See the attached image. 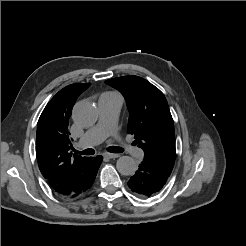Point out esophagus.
I'll return each instance as SVG.
<instances>
[{
  "instance_id": "34e87169",
  "label": "esophagus",
  "mask_w": 246,
  "mask_h": 246,
  "mask_svg": "<svg viewBox=\"0 0 246 246\" xmlns=\"http://www.w3.org/2000/svg\"><path fill=\"white\" fill-rule=\"evenodd\" d=\"M104 157L109 158V159H115L119 157V154H113V153H104Z\"/></svg>"
}]
</instances>
